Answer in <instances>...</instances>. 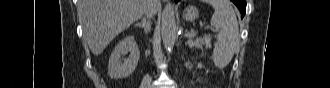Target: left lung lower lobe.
Returning a JSON list of instances; mask_svg holds the SVG:
<instances>
[{
	"label": "left lung lower lobe",
	"instance_id": "left-lung-lower-lobe-1",
	"mask_svg": "<svg viewBox=\"0 0 330 88\" xmlns=\"http://www.w3.org/2000/svg\"><path fill=\"white\" fill-rule=\"evenodd\" d=\"M180 0H175V2L177 3ZM240 10L241 12V18L244 17L245 13H246V0H231Z\"/></svg>",
	"mask_w": 330,
	"mask_h": 88
}]
</instances>
